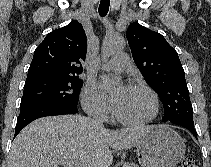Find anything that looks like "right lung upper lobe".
Instances as JSON below:
<instances>
[{"label":"right lung upper lobe","mask_w":211,"mask_h":167,"mask_svg":"<svg viewBox=\"0 0 211 167\" xmlns=\"http://www.w3.org/2000/svg\"><path fill=\"white\" fill-rule=\"evenodd\" d=\"M87 51L86 34L82 25L73 20L65 27L53 30L36 48L28 80L43 77L77 76Z\"/></svg>","instance_id":"right-lung-upper-lobe-1"}]
</instances>
